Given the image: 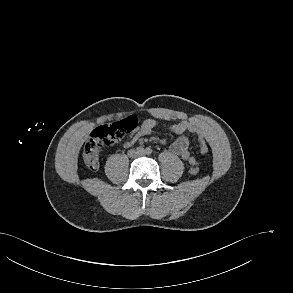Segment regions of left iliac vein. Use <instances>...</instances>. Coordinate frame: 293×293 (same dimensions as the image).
<instances>
[{"mask_svg": "<svg viewBox=\"0 0 293 293\" xmlns=\"http://www.w3.org/2000/svg\"><path fill=\"white\" fill-rule=\"evenodd\" d=\"M144 152H138V156H143Z\"/></svg>", "mask_w": 293, "mask_h": 293, "instance_id": "1", "label": "left iliac vein"}]
</instances>
